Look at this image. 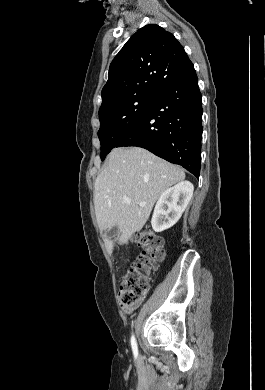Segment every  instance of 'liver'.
<instances>
[{
	"label": "liver",
	"mask_w": 265,
	"mask_h": 390,
	"mask_svg": "<svg viewBox=\"0 0 265 390\" xmlns=\"http://www.w3.org/2000/svg\"><path fill=\"white\" fill-rule=\"evenodd\" d=\"M185 179L184 171L140 147L115 148L97 176L94 206L100 230L118 227V240L127 242L147 222L156 200ZM131 199L129 204L123 198ZM140 203H145L140 206ZM105 237L110 253L114 241Z\"/></svg>",
	"instance_id": "obj_1"
}]
</instances>
